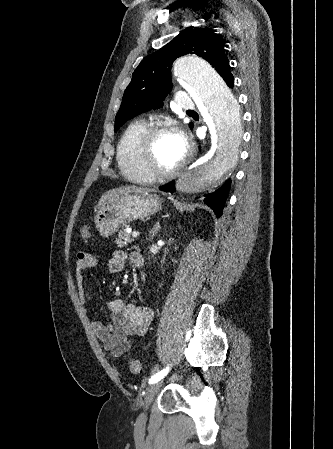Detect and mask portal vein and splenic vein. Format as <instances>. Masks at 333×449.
Returning a JSON list of instances; mask_svg holds the SVG:
<instances>
[{"instance_id": "portal-vein-and-splenic-vein-1", "label": "portal vein and splenic vein", "mask_w": 333, "mask_h": 449, "mask_svg": "<svg viewBox=\"0 0 333 449\" xmlns=\"http://www.w3.org/2000/svg\"><path fill=\"white\" fill-rule=\"evenodd\" d=\"M138 236H139V232H136V231L132 232L133 238H138Z\"/></svg>"}]
</instances>
